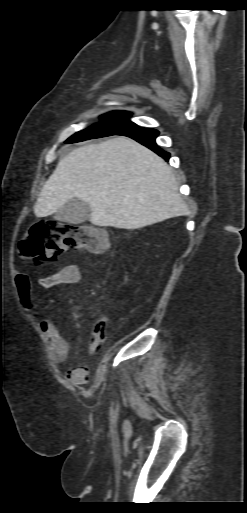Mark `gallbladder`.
<instances>
[{
	"mask_svg": "<svg viewBox=\"0 0 247 513\" xmlns=\"http://www.w3.org/2000/svg\"><path fill=\"white\" fill-rule=\"evenodd\" d=\"M89 215V204L79 199H73L55 213V218L71 224H80L87 220Z\"/></svg>",
	"mask_w": 247,
	"mask_h": 513,
	"instance_id": "obj_1",
	"label": "gallbladder"
}]
</instances>
